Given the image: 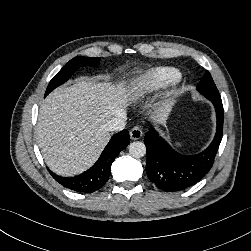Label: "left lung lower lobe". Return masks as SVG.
I'll use <instances>...</instances> for the list:
<instances>
[{"label": "left lung lower lobe", "mask_w": 251, "mask_h": 251, "mask_svg": "<svg viewBox=\"0 0 251 251\" xmlns=\"http://www.w3.org/2000/svg\"><path fill=\"white\" fill-rule=\"evenodd\" d=\"M214 104L217 130L212 143L199 154L185 156L176 152L154 128L145 134L148 178L167 192L184 190L200 181L211 169L223 133V105L221 98L209 99Z\"/></svg>", "instance_id": "obj_1"}]
</instances>
